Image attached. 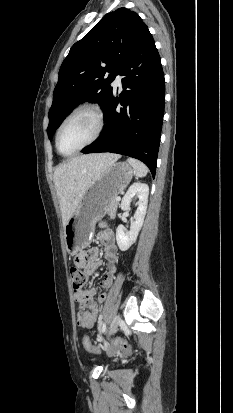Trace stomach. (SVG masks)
<instances>
[{
	"label": "stomach",
	"instance_id": "obj_1",
	"mask_svg": "<svg viewBox=\"0 0 233 413\" xmlns=\"http://www.w3.org/2000/svg\"><path fill=\"white\" fill-rule=\"evenodd\" d=\"M133 168L127 162H117L103 170L86 190L74 214L64 226V238L69 254L87 247L95 224L106 214L110 199L119 195L130 183Z\"/></svg>",
	"mask_w": 233,
	"mask_h": 413
}]
</instances>
